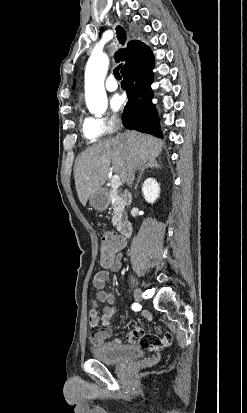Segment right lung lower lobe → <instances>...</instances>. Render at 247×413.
<instances>
[{
  "label": "right lung lower lobe",
  "instance_id": "1",
  "mask_svg": "<svg viewBox=\"0 0 247 413\" xmlns=\"http://www.w3.org/2000/svg\"><path fill=\"white\" fill-rule=\"evenodd\" d=\"M152 68L137 75L124 77L121 85L127 91L128 102L122 114V122L128 129L162 138L155 106L151 102Z\"/></svg>",
  "mask_w": 247,
  "mask_h": 413
}]
</instances>
